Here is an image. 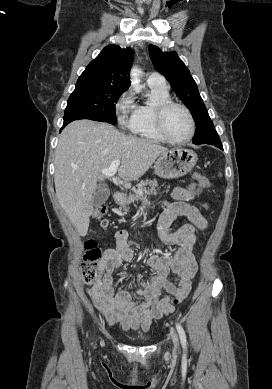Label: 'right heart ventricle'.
I'll return each mask as SVG.
<instances>
[{
  "label": "right heart ventricle",
  "instance_id": "obj_1",
  "mask_svg": "<svg viewBox=\"0 0 272 389\" xmlns=\"http://www.w3.org/2000/svg\"><path fill=\"white\" fill-rule=\"evenodd\" d=\"M170 99L167 88L149 85V99L146 103L135 106L132 117L128 122V129L146 139L165 141L156 129L154 112L160 103Z\"/></svg>",
  "mask_w": 272,
  "mask_h": 389
}]
</instances>
